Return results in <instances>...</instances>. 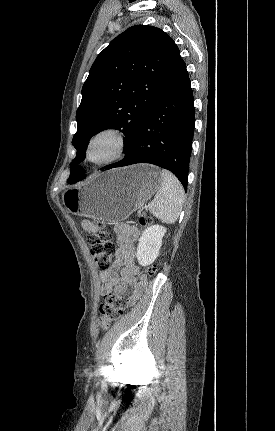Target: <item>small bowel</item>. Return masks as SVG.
Here are the masks:
<instances>
[{"label":"small bowel","mask_w":275,"mask_h":431,"mask_svg":"<svg viewBox=\"0 0 275 431\" xmlns=\"http://www.w3.org/2000/svg\"><path fill=\"white\" fill-rule=\"evenodd\" d=\"M83 227L87 231H94L95 227L90 222H84ZM116 238V257L110 268L100 273L101 288L100 294L107 295L124 292L123 283L134 284L135 289L128 303L134 304L142 294L143 283H136L135 276L139 274V269L135 264V244L140 236L139 230L129 224H119L114 228Z\"/></svg>","instance_id":"obj_1"}]
</instances>
